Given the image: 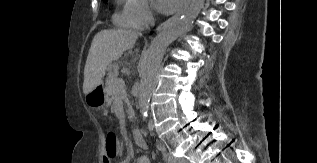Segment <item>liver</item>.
<instances>
[{"label": "liver", "instance_id": "6515ba94", "mask_svg": "<svg viewBox=\"0 0 317 163\" xmlns=\"http://www.w3.org/2000/svg\"><path fill=\"white\" fill-rule=\"evenodd\" d=\"M138 36L137 32L122 29H104L94 36L84 68L85 95L102 84L107 67L132 48Z\"/></svg>", "mask_w": 317, "mask_h": 163}]
</instances>
